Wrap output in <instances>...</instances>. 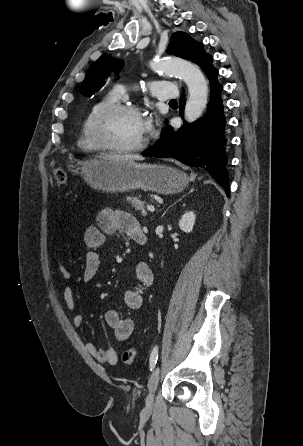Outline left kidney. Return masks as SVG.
I'll list each match as a JSON object with an SVG mask.
<instances>
[{
  "mask_svg": "<svg viewBox=\"0 0 303 446\" xmlns=\"http://www.w3.org/2000/svg\"><path fill=\"white\" fill-rule=\"evenodd\" d=\"M195 214L192 211L186 212L179 221L180 229L185 233H190L195 224Z\"/></svg>",
  "mask_w": 303,
  "mask_h": 446,
  "instance_id": "1",
  "label": "left kidney"
}]
</instances>
